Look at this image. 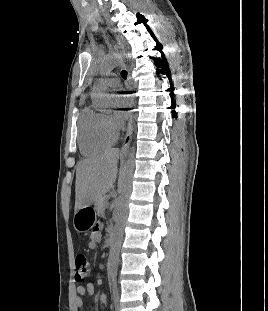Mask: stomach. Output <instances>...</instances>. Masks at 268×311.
I'll list each match as a JSON object with an SVG mask.
<instances>
[{"mask_svg":"<svg viewBox=\"0 0 268 311\" xmlns=\"http://www.w3.org/2000/svg\"><path fill=\"white\" fill-rule=\"evenodd\" d=\"M95 211L90 205L76 210L73 217V226L77 232L89 231L95 223Z\"/></svg>","mask_w":268,"mask_h":311,"instance_id":"stomach-1","label":"stomach"}]
</instances>
